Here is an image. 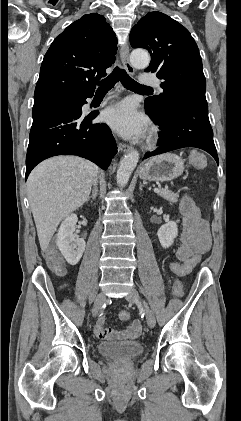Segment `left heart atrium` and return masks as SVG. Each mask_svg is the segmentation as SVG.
<instances>
[{
    "label": "left heart atrium",
    "mask_w": 241,
    "mask_h": 421,
    "mask_svg": "<svg viewBox=\"0 0 241 421\" xmlns=\"http://www.w3.org/2000/svg\"><path fill=\"white\" fill-rule=\"evenodd\" d=\"M104 119L116 132L132 139L143 137L149 125L147 118L137 111L130 100L110 106L104 113Z\"/></svg>",
    "instance_id": "39dd6f15"
}]
</instances>
